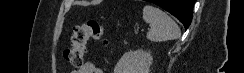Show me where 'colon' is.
Instances as JSON below:
<instances>
[{
	"label": "colon",
	"mask_w": 244,
	"mask_h": 73,
	"mask_svg": "<svg viewBox=\"0 0 244 73\" xmlns=\"http://www.w3.org/2000/svg\"><path fill=\"white\" fill-rule=\"evenodd\" d=\"M104 37V26L96 20H87L76 25L73 28L70 46L64 52V59L75 68L81 67L89 41H102Z\"/></svg>",
	"instance_id": "colon-1"
}]
</instances>
